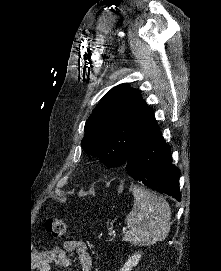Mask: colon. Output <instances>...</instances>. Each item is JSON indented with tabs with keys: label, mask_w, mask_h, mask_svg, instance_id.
Wrapping results in <instances>:
<instances>
[{
	"label": "colon",
	"mask_w": 221,
	"mask_h": 271,
	"mask_svg": "<svg viewBox=\"0 0 221 271\" xmlns=\"http://www.w3.org/2000/svg\"><path fill=\"white\" fill-rule=\"evenodd\" d=\"M46 230L55 239H62L65 234V222L61 218L49 216L46 220Z\"/></svg>",
	"instance_id": "5ec220e1"
}]
</instances>
